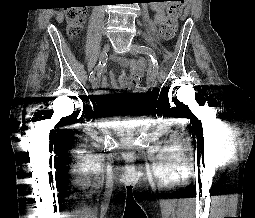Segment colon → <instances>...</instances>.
I'll list each match as a JSON object with an SVG mask.
<instances>
[{
  "mask_svg": "<svg viewBox=\"0 0 255 218\" xmlns=\"http://www.w3.org/2000/svg\"><path fill=\"white\" fill-rule=\"evenodd\" d=\"M185 0H169L167 7V14L163 18L160 25V34L164 40H170L174 37L177 26L178 18L181 16L185 6ZM67 17V30L71 36L79 35L87 21V9L85 7H71L66 11ZM141 88L140 91H143Z\"/></svg>",
  "mask_w": 255,
  "mask_h": 218,
  "instance_id": "1",
  "label": "colon"
}]
</instances>
